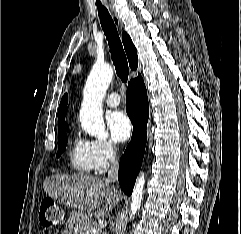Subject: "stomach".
<instances>
[{
    "mask_svg": "<svg viewBox=\"0 0 241 234\" xmlns=\"http://www.w3.org/2000/svg\"><path fill=\"white\" fill-rule=\"evenodd\" d=\"M89 222L87 216L84 213L74 212L68 220V229L70 230L69 234H75V232H80L83 230V225H86Z\"/></svg>",
    "mask_w": 241,
    "mask_h": 234,
    "instance_id": "1",
    "label": "stomach"
}]
</instances>
